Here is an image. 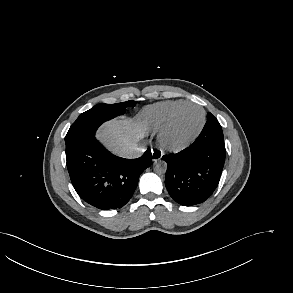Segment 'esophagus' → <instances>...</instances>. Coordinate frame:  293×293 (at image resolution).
Wrapping results in <instances>:
<instances>
[{"mask_svg": "<svg viewBox=\"0 0 293 293\" xmlns=\"http://www.w3.org/2000/svg\"><path fill=\"white\" fill-rule=\"evenodd\" d=\"M162 158V151L160 150H152V160L154 162L159 161Z\"/></svg>", "mask_w": 293, "mask_h": 293, "instance_id": "esophagus-1", "label": "esophagus"}]
</instances>
